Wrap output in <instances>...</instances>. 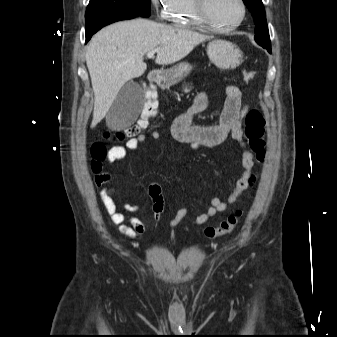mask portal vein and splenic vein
I'll use <instances>...</instances> for the list:
<instances>
[{
    "instance_id": "obj_1",
    "label": "portal vein and splenic vein",
    "mask_w": 337,
    "mask_h": 337,
    "mask_svg": "<svg viewBox=\"0 0 337 337\" xmlns=\"http://www.w3.org/2000/svg\"><path fill=\"white\" fill-rule=\"evenodd\" d=\"M155 52H156V50H153V51L148 52V53H147V57H148V58H153Z\"/></svg>"
}]
</instances>
